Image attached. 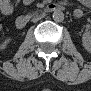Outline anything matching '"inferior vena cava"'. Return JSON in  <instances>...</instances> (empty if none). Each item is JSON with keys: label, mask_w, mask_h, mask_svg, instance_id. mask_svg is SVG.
Returning <instances> with one entry per match:
<instances>
[{"label": "inferior vena cava", "mask_w": 91, "mask_h": 91, "mask_svg": "<svg viewBox=\"0 0 91 91\" xmlns=\"http://www.w3.org/2000/svg\"><path fill=\"white\" fill-rule=\"evenodd\" d=\"M41 19H44V14H38V16L33 17V22H39Z\"/></svg>", "instance_id": "602c4592"}]
</instances>
